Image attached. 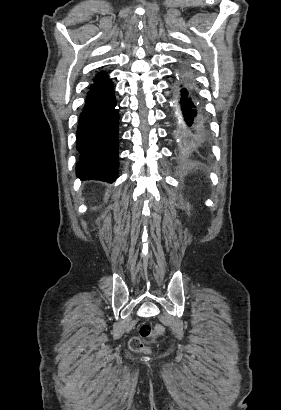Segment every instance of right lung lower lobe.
Wrapping results in <instances>:
<instances>
[{
	"instance_id": "98d812e1",
	"label": "right lung lower lobe",
	"mask_w": 281,
	"mask_h": 410,
	"mask_svg": "<svg viewBox=\"0 0 281 410\" xmlns=\"http://www.w3.org/2000/svg\"><path fill=\"white\" fill-rule=\"evenodd\" d=\"M117 101L111 80L87 93L76 132L79 159L76 175L81 180L113 183L118 174Z\"/></svg>"
}]
</instances>
